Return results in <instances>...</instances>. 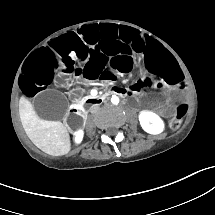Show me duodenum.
Segmentation results:
<instances>
[{
	"mask_svg": "<svg viewBox=\"0 0 215 215\" xmlns=\"http://www.w3.org/2000/svg\"><path fill=\"white\" fill-rule=\"evenodd\" d=\"M113 95H125V93L123 92L122 88H114V89H110L107 92L98 95L94 98H90L88 99V103L90 104H100L102 103L105 99H107L108 97H111ZM81 111V104L77 103L75 104L72 108H71V112L77 114L80 113Z\"/></svg>",
	"mask_w": 215,
	"mask_h": 215,
	"instance_id": "duodenum-1",
	"label": "duodenum"
}]
</instances>
